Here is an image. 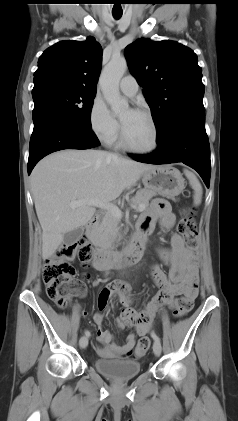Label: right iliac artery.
Returning a JSON list of instances; mask_svg holds the SVG:
<instances>
[{"instance_id":"obj_1","label":"right iliac artery","mask_w":238,"mask_h":421,"mask_svg":"<svg viewBox=\"0 0 238 421\" xmlns=\"http://www.w3.org/2000/svg\"><path fill=\"white\" fill-rule=\"evenodd\" d=\"M85 335H86L87 337H89V336H90V332H89V331H85Z\"/></svg>"}]
</instances>
